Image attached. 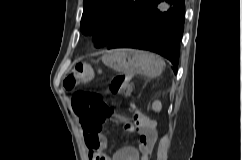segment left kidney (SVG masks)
Masks as SVG:
<instances>
[{"mask_svg":"<svg viewBox=\"0 0 242 160\" xmlns=\"http://www.w3.org/2000/svg\"><path fill=\"white\" fill-rule=\"evenodd\" d=\"M153 109L160 110L161 109V103L160 102H154L153 103Z\"/></svg>","mask_w":242,"mask_h":160,"instance_id":"left-kidney-1","label":"left kidney"}]
</instances>
